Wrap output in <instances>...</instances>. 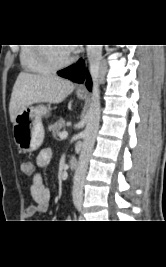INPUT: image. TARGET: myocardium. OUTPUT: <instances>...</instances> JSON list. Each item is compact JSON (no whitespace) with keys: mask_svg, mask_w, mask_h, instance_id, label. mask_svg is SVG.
I'll return each instance as SVG.
<instances>
[{"mask_svg":"<svg viewBox=\"0 0 166 267\" xmlns=\"http://www.w3.org/2000/svg\"><path fill=\"white\" fill-rule=\"evenodd\" d=\"M48 44H40L38 46V54L40 59L50 68L52 69H61L69 66L75 61V55L71 54L70 57L63 61L59 62L57 61L53 54L51 53V50L49 49L50 46H47Z\"/></svg>","mask_w":166,"mask_h":267,"instance_id":"f54148a6","label":"myocardium"}]
</instances>
